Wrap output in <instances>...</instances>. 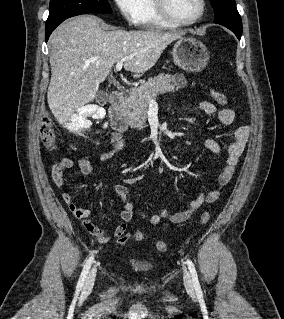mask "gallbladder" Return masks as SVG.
I'll list each match as a JSON object with an SVG mask.
<instances>
[{"label": "gallbladder", "instance_id": "gallbladder-1", "mask_svg": "<svg viewBox=\"0 0 284 319\" xmlns=\"http://www.w3.org/2000/svg\"><path fill=\"white\" fill-rule=\"evenodd\" d=\"M109 95L105 91H98L95 96V101L99 105H104L108 102Z\"/></svg>", "mask_w": 284, "mask_h": 319}]
</instances>
